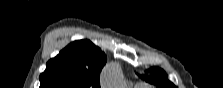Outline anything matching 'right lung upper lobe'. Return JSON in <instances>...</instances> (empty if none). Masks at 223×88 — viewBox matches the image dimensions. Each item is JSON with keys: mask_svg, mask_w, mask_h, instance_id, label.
Listing matches in <instances>:
<instances>
[{"mask_svg": "<svg viewBox=\"0 0 223 88\" xmlns=\"http://www.w3.org/2000/svg\"><path fill=\"white\" fill-rule=\"evenodd\" d=\"M106 55L89 40L69 44L47 63L40 88H100Z\"/></svg>", "mask_w": 223, "mask_h": 88, "instance_id": "obj_1", "label": "right lung upper lobe"}]
</instances>
